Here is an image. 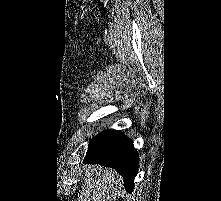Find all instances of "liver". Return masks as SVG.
I'll return each instance as SVG.
<instances>
[{
  "label": "liver",
  "mask_w": 221,
  "mask_h": 201,
  "mask_svg": "<svg viewBox=\"0 0 221 201\" xmlns=\"http://www.w3.org/2000/svg\"><path fill=\"white\" fill-rule=\"evenodd\" d=\"M84 181L85 184L77 201H115L123 188L120 174L99 165L88 166Z\"/></svg>",
  "instance_id": "obj_1"
}]
</instances>
